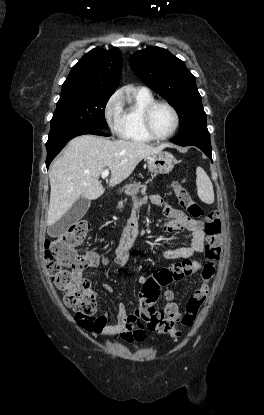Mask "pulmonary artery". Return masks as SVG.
I'll use <instances>...</instances> for the list:
<instances>
[{
  "mask_svg": "<svg viewBox=\"0 0 264 415\" xmlns=\"http://www.w3.org/2000/svg\"><path fill=\"white\" fill-rule=\"evenodd\" d=\"M140 90L147 91V90H148V88H147V87H141V88H140Z\"/></svg>",
  "mask_w": 264,
  "mask_h": 415,
  "instance_id": "pulmonary-artery-1",
  "label": "pulmonary artery"
}]
</instances>
